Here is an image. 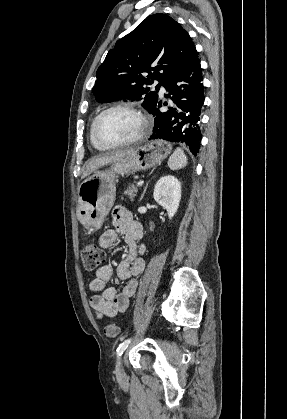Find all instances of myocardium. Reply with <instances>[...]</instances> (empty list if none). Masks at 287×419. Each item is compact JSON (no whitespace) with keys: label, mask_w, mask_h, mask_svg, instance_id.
<instances>
[{"label":"myocardium","mask_w":287,"mask_h":419,"mask_svg":"<svg viewBox=\"0 0 287 419\" xmlns=\"http://www.w3.org/2000/svg\"><path fill=\"white\" fill-rule=\"evenodd\" d=\"M116 109H126L129 110L133 113H135L139 120H140V129L137 132V134L125 141L122 142H116V143H111V142H106L104 140H102L98 134V126L100 121L102 120V118L109 112L116 110ZM148 127H149V123H148V119L146 117V115L143 113V111L141 109H139L137 106H135L134 104L130 103V102H118V103H114L110 106H108L107 108H105L104 110H102L95 118L93 126H92V134L93 137L95 139V141L105 147V148H120V147H124V146H129L132 144L137 143L138 141H140L145 134L148 131Z\"/></svg>","instance_id":"f54148a6"}]
</instances>
